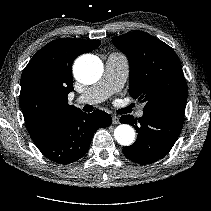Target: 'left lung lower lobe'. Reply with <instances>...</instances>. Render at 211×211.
<instances>
[{
    "label": "left lung lower lobe",
    "instance_id": "left-lung-lower-lobe-1",
    "mask_svg": "<svg viewBox=\"0 0 211 211\" xmlns=\"http://www.w3.org/2000/svg\"><path fill=\"white\" fill-rule=\"evenodd\" d=\"M183 107L166 106L143 110L139 119L131 115L120 118L121 123L134 126L137 140L123 149L124 155L138 164H149L163 158L175 144L183 124Z\"/></svg>",
    "mask_w": 211,
    "mask_h": 211
}]
</instances>
